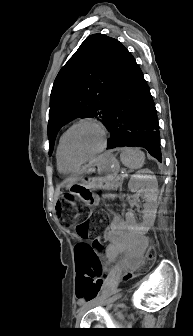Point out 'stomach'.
<instances>
[{
  "instance_id": "stomach-1",
  "label": "stomach",
  "mask_w": 193,
  "mask_h": 336,
  "mask_svg": "<svg viewBox=\"0 0 193 336\" xmlns=\"http://www.w3.org/2000/svg\"><path fill=\"white\" fill-rule=\"evenodd\" d=\"M120 169L118 160L110 153L99 156L70 190L83 203L94 207L98 203V197L94 193L96 189H107L108 184L117 176Z\"/></svg>"
}]
</instances>
